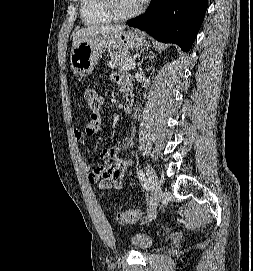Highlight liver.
I'll use <instances>...</instances> for the list:
<instances>
[{
	"label": "liver",
	"instance_id": "6515ba94",
	"mask_svg": "<svg viewBox=\"0 0 253 271\" xmlns=\"http://www.w3.org/2000/svg\"><path fill=\"white\" fill-rule=\"evenodd\" d=\"M124 29H125L124 25L90 26L87 28L80 29L73 35V47L76 45L77 42L87 37L121 32Z\"/></svg>",
	"mask_w": 253,
	"mask_h": 271
}]
</instances>
